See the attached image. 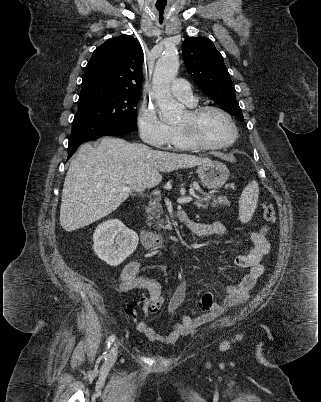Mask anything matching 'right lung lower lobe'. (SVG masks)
<instances>
[{
  "label": "right lung lower lobe",
  "instance_id": "right-lung-lower-lobe-1",
  "mask_svg": "<svg viewBox=\"0 0 321 402\" xmlns=\"http://www.w3.org/2000/svg\"><path fill=\"white\" fill-rule=\"evenodd\" d=\"M136 129V126L121 122H85L73 124L69 138L67 160L83 142L94 140L102 136L123 135Z\"/></svg>",
  "mask_w": 321,
  "mask_h": 402
}]
</instances>
